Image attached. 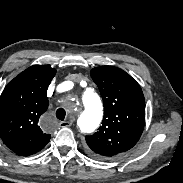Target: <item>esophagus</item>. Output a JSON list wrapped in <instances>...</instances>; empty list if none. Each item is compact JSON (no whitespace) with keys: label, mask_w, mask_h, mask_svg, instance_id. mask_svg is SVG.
Returning <instances> with one entry per match:
<instances>
[{"label":"esophagus","mask_w":183,"mask_h":183,"mask_svg":"<svg viewBox=\"0 0 183 183\" xmlns=\"http://www.w3.org/2000/svg\"><path fill=\"white\" fill-rule=\"evenodd\" d=\"M72 122L71 121H62L60 122L61 127H69L71 126Z\"/></svg>","instance_id":"34e87169"}]
</instances>
